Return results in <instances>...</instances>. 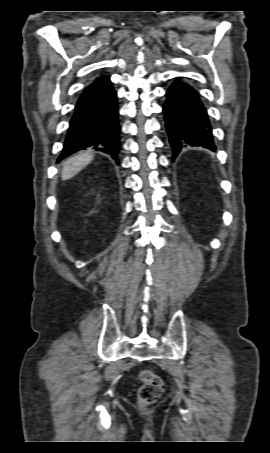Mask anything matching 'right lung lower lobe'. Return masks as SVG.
Here are the masks:
<instances>
[{
    "label": "right lung lower lobe",
    "mask_w": 270,
    "mask_h": 453,
    "mask_svg": "<svg viewBox=\"0 0 270 453\" xmlns=\"http://www.w3.org/2000/svg\"><path fill=\"white\" fill-rule=\"evenodd\" d=\"M118 115L117 93L110 79L97 78L75 105L58 162L80 150L93 149L109 154L119 164Z\"/></svg>",
    "instance_id": "obj_1"
}]
</instances>
